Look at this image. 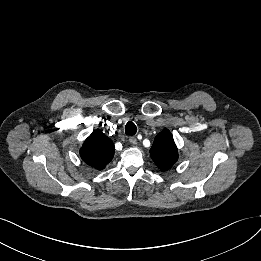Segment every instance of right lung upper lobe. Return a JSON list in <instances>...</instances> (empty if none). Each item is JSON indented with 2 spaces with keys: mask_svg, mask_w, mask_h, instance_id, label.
I'll return each instance as SVG.
<instances>
[{
  "mask_svg": "<svg viewBox=\"0 0 261 261\" xmlns=\"http://www.w3.org/2000/svg\"><path fill=\"white\" fill-rule=\"evenodd\" d=\"M80 156L85 163L101 170L112 160L114 144L101 131L95 130L85 140L80 149Z\"/></svg>",
  "mask_w": 261,
  "mask_h": 261,
  "instance_id": "cb5924a9",
  "label": "right lung upper lobe"
}]
</instances>
